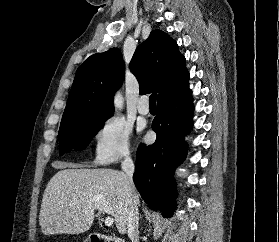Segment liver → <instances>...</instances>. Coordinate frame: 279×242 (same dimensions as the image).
I'll return each instance as SVG.
<instances>
[{"mask_svg": "<svg viewBox=\"0 0 279 242\" xmlns=\"http://www.w3.org/2000/svg\"><path fill=\"white\" fill-rule=\"evenodd\" d=\"M46 186L39 224L44 235L80 234L88 231L95 210L113 216L117 230L125 234L129 211L128 177L113 169L82 168L62 164ZM68 168V169H66ZM136 203L139 196L135 191Z\"/></svg>", "mask_w": 279, "mask_h": 242, "instance_id": "liver-1", "label": "liver"}]
</instances>
